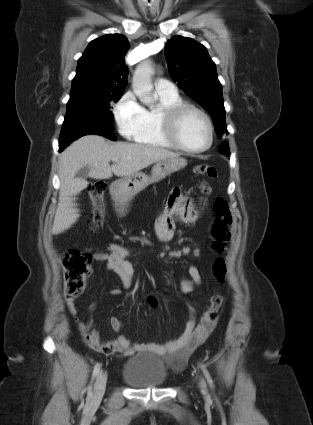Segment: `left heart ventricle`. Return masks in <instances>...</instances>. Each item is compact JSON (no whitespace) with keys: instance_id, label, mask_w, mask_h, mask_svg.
Listing matches in <instances>:
<instances>
[{"instance_id":"obj_1","label":"left heart ventricle","mask_w":313,"mask_h":425,"mask_svg":"<svg viewBox=\"0 0 313 425\" xmlns=\"http://www.w3.org/2000/svg\"><path fill=\"white\" fill-rule=\"evenodd\" d=\"M179 135L182 142L192 149L205 146L209 139L207 124L197 113H189L185 116L180 126Z\"/></svg>"}]
</instances>
